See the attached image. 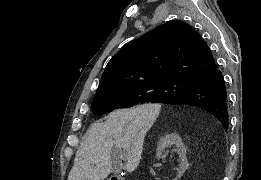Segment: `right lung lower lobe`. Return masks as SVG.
Segmentation results:
<instances>
[{"label": "right lung lower lobe", "instance_id": "right-lung-lower-lobe-1", "mask_svg": "<svg viewBox=\"0 0 261 180\" xmlns=\"http://www.w3.org/2000/svg\"><path fill=\"white\" fill-rule=\"evenodd\" d=\"M192 88L164 104H187L199 107L213 114L227 129L229 104L223 75L218 66L201 73L192 82Z\"/></svg>", "mask_w": 261, "mask_h": 180}]
</instances>
